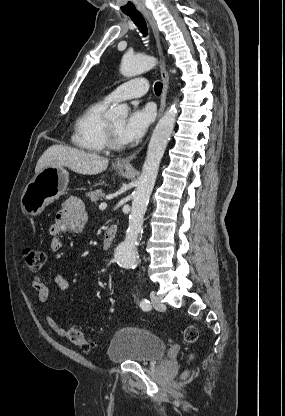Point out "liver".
I'll use <instances>...</instances> for the list:
<instances>
[{
  "instance_id": "obj_1",
  "label": "liver",
  "mask_w": 285,
  "mask_h": 416,
  "mask_svg": "<svg viewBox=\"0 0 285 416\" xmlns=\"http://www.w3.org/2000/svg\"><path fill=\"white\" fill-rule=\"evenodd\" d=\"M108 164V158H102L98 154H90V152H84V150H78V148H69V146H50L39 158L35 174H39L49 166H66L77 174L96 176V174L105 172Z\"/></svg>"
}]
</instances>
